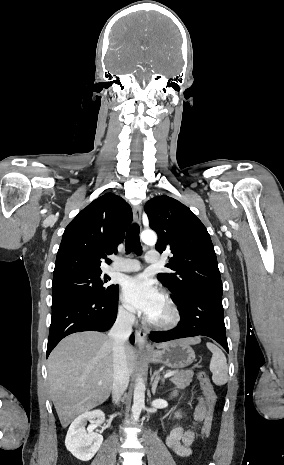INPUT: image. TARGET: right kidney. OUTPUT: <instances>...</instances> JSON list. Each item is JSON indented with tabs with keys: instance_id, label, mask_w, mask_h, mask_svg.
I'll return each instance as SVG.
<instances>
[{
	"instance_id": "ca27d5eb",
	"label": "right kidney",
	"mask_w": 284,
	"mask_h": 465,
	"mask_svg": "<svg viewBox=\"0 0 284 465\" xmlns=\"http://www.w3.org/2000/svg\"><path fill=\"white\" fill-rule=\"evenodd\" d=\"M92 419H97L96 423H103L105 415L103 411H90V413L79 415L71 423L66 435L65 445L68 451L80 461H90L103 443L102 435H99V433H86L85 431L87 421H92Z\"/></svg>"
}]
</instances>
